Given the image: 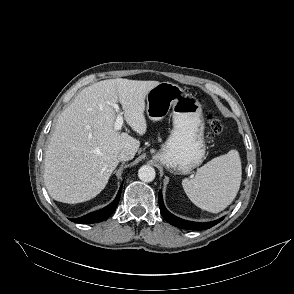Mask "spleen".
I'll use <instances>...</instances> for the list:
<instances>
[{
  "mask_svg": "<svg viewBox=\"0 0 294 294\" xmlns=\"http://www.w3.org/2000/svg\"><path fill=\"white\" fill-rule=\"evenodd\" d=\"M242 167L239 153L231 150L198 169L192 179L182 185L188 198L199 208L218 213L232 203L241 183Z\"/></svg>",
  "mask_w": 294,
  "mask_h": 294,
  "instance_id": "obj_1",
  "label": "spleen"
}]
</instances>
